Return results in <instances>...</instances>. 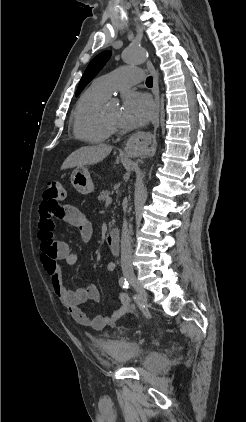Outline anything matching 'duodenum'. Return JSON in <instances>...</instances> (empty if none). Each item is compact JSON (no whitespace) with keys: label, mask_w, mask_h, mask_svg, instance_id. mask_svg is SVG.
Listing matches in <instances>:
<instances>
[{"label":"duodenum","mask_w":246,"mask_h":422,"mask_svg":"<svg viewBox=\"0 0 246 422\" xmlns=\"http://www.w3.org/2000/svg\"><path fill=\"white\" fill-rule=\"evenodd\" d=\"M106 243L114 255H119L120 244H119V231L114 229L108 232L106 236Z\"/></svg>","instance_id":"1"}]
</instances>
